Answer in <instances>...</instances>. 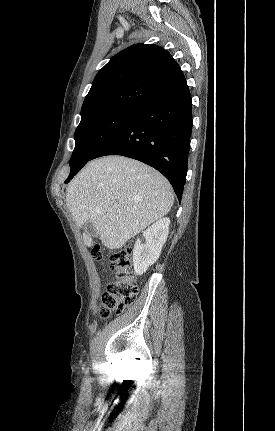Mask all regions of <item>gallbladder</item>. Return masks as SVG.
I'll return each instance as SVG.
<instances>
[{
	"label": "gallbladder",
	"mask_w": 275,
	"mask_h": 431,
	"mask_svg": "<svg viewBox=\"0 0 275 431\" xmlns=\"http://www.w3.org/2000/svg\"><path fill=\"white\" fill-rule=\"evenodd\" d=\"M84 229L87 232V234H89L92 237L97 236V231L95 230L94 226L92 225V223L90 221H87L84 225Z\"/></svg>",
	"instance_id": "gallbladder-1"
}]
</instances>
